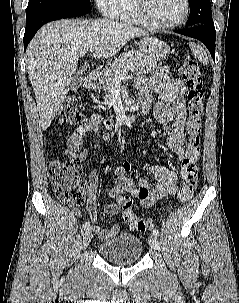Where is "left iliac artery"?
Here are the masks:
<instances>
[{
	"instance_id": "left-iliac-artery-1",
	"label": "left iliac artery",
	"mask_w": 239,
	"mask_h": 303,
	"mask_svg": "<svg viewBox=\"0 0 239 303\" xmlns=\"http://www.w3.org/2000/svg\"><path fill=\"white\" fill-rule=\"evenodd\" d=\"M153 235H155V236H159V231H158V229H153Z\"/></svg>"
}]
</instances>
